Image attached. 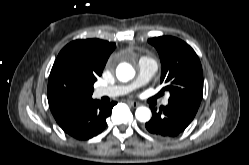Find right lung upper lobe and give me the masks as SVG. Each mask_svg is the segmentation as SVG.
Returning a JSON list of instances; mask_svg holds the SVG:
<instances>
[{"label": "right lung upper lobe", "mask_w": 249, "mask_h": 165, "mask_svg": "<svg viewBox=\"0 0 249 165\" xmlns=\"http://www.w3.org/2000/svg\"><path fill=\"white\" fill-rule=\"evenodd\" d=\"M115 47L112 42L86 39L72 41L60 51L47 88L52 113L92 100L93 85Z\"/></svg>", "instance_id": "obj_1"}]
</instances>
